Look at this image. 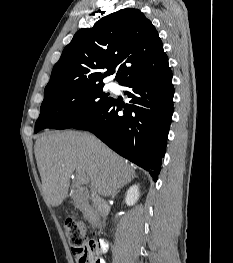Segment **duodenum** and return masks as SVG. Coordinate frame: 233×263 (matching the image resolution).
Instances as JSON below:
<instances>
[{"label":"duodenum","mask_w":233,"mask_h":263,"mask_svg":"<svg viewBox=\"0 0 233 263\" xmlns=\"http://www.w3.org/2000/svg\"><path fill=\"white\" fill-rule=\"evenodd\" d=\"M75 205L85 213L86 218L95 227H100L99 211L94 208L88 199H76Z\"/></svg>","instance_id":"1"}]
</instances>
